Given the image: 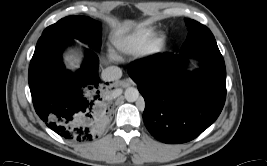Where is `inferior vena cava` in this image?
<instances>
[{
    "label": "inferior vena cava",
    "mask_w": 267,
    "mask_h": 166,
    "mask_svg": "<svg viewBox=\"0 0 267 166\" xmlns=\"http://www.w3.org/2000/svg\"><path fill=\"white\" fill-rule=\"evenodd\" d=\"M101 75L104 81L110 82L120 79L122 76V70L117 66H110L104 69Z\"/></svg>",
    "instance_id": "inferior-vena-cava-1"
}]
</instances>
